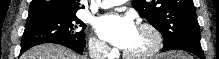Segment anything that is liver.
<instances>
[{
    "mask_svg": "<svg viewBox=\"0 0 219 59\" xmlns=\"http://www.w3.org/2000/svg\"><path fill=\"white\" fill-rule=\"evenodd\" d=\"M21 59H87L57 44H42L26 51Z\"/></svg>",
    "mask_w": 219,
    "mask_h": 59,
    "instance_id": "6515ba94",
    "label": "liver"
}]
</instances>
